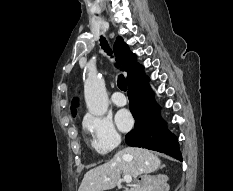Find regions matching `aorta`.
I'll return each instance as SVG.
<instances>
[{"label":"aorta","instance_id":"aorta-1","mask_svg":"<svg viewBox=\"0 0 233 191\" xmlns=\"http://www.w3.org/2000/svg\"><path fill=\"white\" fill-rule=\"evenodd\" d=\"M84 97L90 113L96 116L106 114L108 110V97L102 78L96 75L87 77L84 84Z\"/></svg>","mask_w":233,"mask_h":191}]
</instances>
